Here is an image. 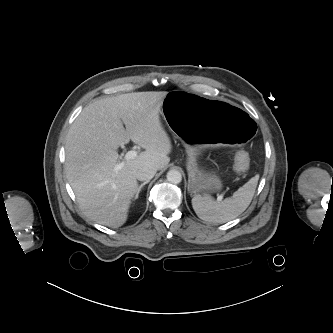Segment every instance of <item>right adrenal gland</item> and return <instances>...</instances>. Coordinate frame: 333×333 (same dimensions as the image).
Masks as SVG:
<instances>
[{
  "label": "right adrenal gland",
  "mask_w": 333,
  "mask_h": 333,
  "mask_svg": "<svg viewBox=\"0 0 333 333\" xmlns=\"http://www.w3.org/2000/svg\"><path fill=\"white\" fill-rule=\"evenodd\" d=\"M148 183V181L143 182L142 184L139 185V187L136 190L134 199L136 200L139 196L140 191L142 190V188Z\"/></svg>",
  "instance_id": "1"
}]
</instances>
